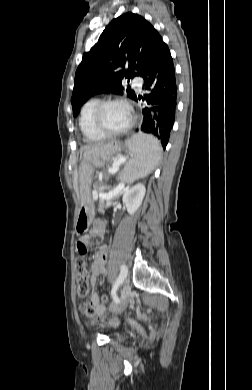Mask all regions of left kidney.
Wrapping results in <instances>:
<instances>
[{
  "label": "left kidney",
  "mask_w": 252,
  "mask_h": 390,
  "mask_svg": "<svg viewBox=\"0 0 252 390\" xmlns=\"http://www.w3.org/2000/svg\"><path fill=\"white\" fill-rule=\"evenodd\" d=\"M146 188L143 184H136L132 188L125 189L123 203L129 214H134L140 207L145 196Z\"/></svg>",
  "instance_id": "5707ae66"
}]
</instances>
